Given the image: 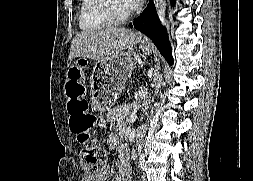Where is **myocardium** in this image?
Returning a JSON list of instances; mask_svg holds the SVG:
<instances>
[{
    "mask_svg": "<svg viewBox=\"0 0 253 181\" xmlns=\"http://www.w3.org/2000/svg\"><path fill=\"white\" fill-rule=\"evenodd\" d=\"M98 11L103 19L112 25L122 24L131 17V11L118 15L114 12L112 0H99Z\"/></svg>",
    "mask_w": 253,
    "mask_h": 181,
    "instance_id": "obj_1",
    "label": "myocardium"
}]
</instances>
